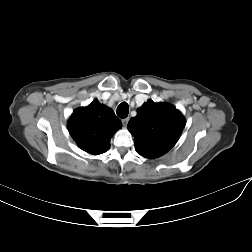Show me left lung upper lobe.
<instances>
[{"label":"left lung upper lobe","instance_id":"obj_1","mask_svg":"<svg viewBox=\"0 0 252 252\" xmlns=\"http://www.w3.org/2000/svg\"><path fill=\"white\" fill-rule=\"evenodd\" d=\"M184 126L185 119L174 106L148 100L130 119L128 130L134 136L137 153L153 159L164 155L176 144Z\"/></svg>","mask_w":252,"mask_h":252}]
</instances>
